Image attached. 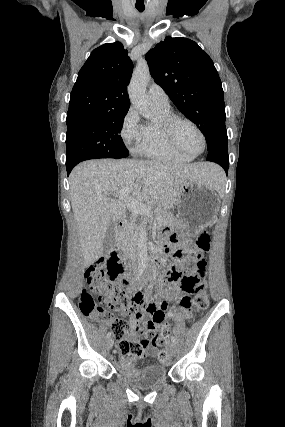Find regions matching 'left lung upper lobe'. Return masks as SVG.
<instances>
[{"mask_svg": "<svg viewBox=\"0 0 285 427\" xmlns=\"http://www.w3.org/2000/svg\"><path fill=\"white\" fill-rule=\"evenodd\" d=\"M145 58L155 82L200 128L208 150L227 139L221 80L213 61L196 42L166 37Z\"/></svg>", "mask_w": 285, "mask_h": 427, "instance_id": "obj_1", "label": "left lung upper lobe"}]
</instances>
